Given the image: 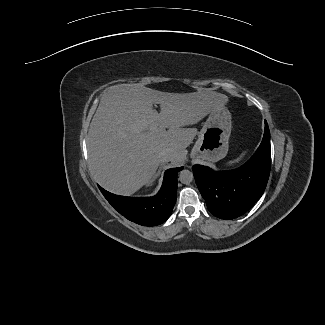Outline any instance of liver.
I'll return each mask as SVG.
<instances>
[{
    "mask_svg": "<svg viewBox=\"0 0 325 325\" xmlns=\"http://www.w3.org/2000/svg\"><path fill=\"white\" fill-rule=\"evenodd\" d=\"M228 100L214 91L179 94L140 84L110 87L101 96L88 133L93 178L112 193H135L155 174L162 151L172 152V165L182 164L197 134V129L183 127L197 123ZM154 103L160 105V113L153 109Z\"/></svg>",
    "mask_w": 325,
    "mask_h": 325,
    "instance_id": "6515ba94",
    "label": "liver"
}]
</instances>
